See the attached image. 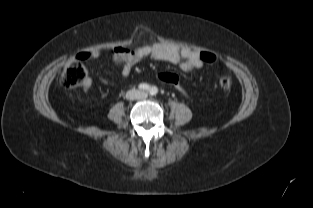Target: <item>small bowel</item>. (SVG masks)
<instances>
[{"instance_id":"1","label":"small bowel","mask_w":313,"mask_h":208,"mask_svg":"<svg viewBox=\"0 0 313 208\" xmlns=\"http://www.w3.org/2000/svg\"><path fill=\"white\" fill-rule=\"evenodd\" d=\"M99 56V51L94 50L80 54L79 58L97 59ZM146 58L179 65L183 71L200 69L204 64L198 52L187 48L179 49L162 43H154L134 50L124 47H116L112 50L113 62L122 66V75L125 77L130 74L133 66ZM89 87L90 82L88 81L85 89Z\"/></svg>"}]
</instances>
